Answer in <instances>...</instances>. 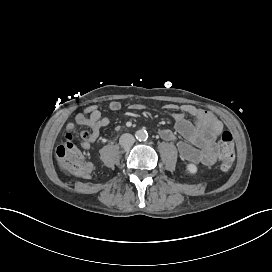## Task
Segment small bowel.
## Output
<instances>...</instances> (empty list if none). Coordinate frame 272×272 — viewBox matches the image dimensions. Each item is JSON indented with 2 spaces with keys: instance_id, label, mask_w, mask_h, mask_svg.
I'll return each instance as SVG.
<instances>
[{
  "instance_id": "obj_1",
  "label": "small bowel",
  "mask_w": 272,
  "mask_h": 272,
  "mask_svg": "<svg viewBox=\"0 0 272 272\" xmlns=\"http://www.w3.org/2000/svg\"><path fill=\"white\" fill-rule=\"evenodd\" d=\"M107 108L116 112L122 108V104L119 101H111ZM142 108L141 104L131 105L133 110H141ZM165 109L175 111L173 115L175 131L184 138L177 143L180 158L191 163L212 166L215 159L210 157L206 150L220 136L223 130L222 122L212 112L190 104L179 106L167 104ZM81 112L85 115V123L82 126L90 129L82 132H92L97 140L100 130L110 124V119L102 115L100 107L97 105L87 106ZM187 116H190L191 120L187 119ZM66 127L74 131L75 125L70 122ZM176 133L170 129H163L159 132V136L165 141H173L176 139ZM82 148L89 150L91 147Z\"/></svg>"
}]
</instances>
